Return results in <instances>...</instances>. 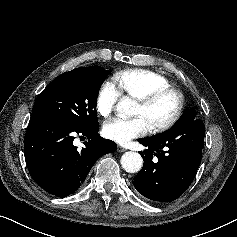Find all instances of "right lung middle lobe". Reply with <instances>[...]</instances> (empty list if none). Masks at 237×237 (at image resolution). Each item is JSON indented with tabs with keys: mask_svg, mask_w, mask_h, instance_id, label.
Here are the masks:
<instances>
[{
	"mask_svg": "<svg viewBox=\"0 0 237 237\" xmlns=\"http://www.w3.org/2000/svg\"><path fill=\"white\" fill-rule=\"evenodd\" d=\"M108 74L100 66L61 74L39 94L32 116L57 119L77 127L97 124V96Z\"/></svg>",
	"mask_w": 237,
	"mask_h": 237,
	"instance_id": "obj_1",
	"label": "right lung middle lobe"
}]
</instances>
